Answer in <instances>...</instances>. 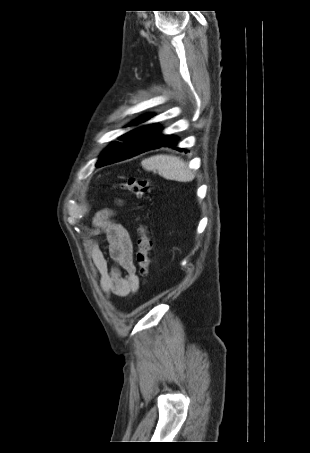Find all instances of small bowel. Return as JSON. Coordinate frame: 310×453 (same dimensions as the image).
Returning a JSON list of instances; mask_svg holds the SVG:
<instances>
[{"instance_id":"1","label":"small bowel","mask_w":310,"mask_h":453,"mask_svg":"<svg viewBox=\"0 0 310 453\" xmlns=\"http://www.w3.org/2000/svg\"><path fill=\"white\" fill-rule=\"evenodd\" d=\"M112 215V211L103 210L94 219L95 227L107 236L108 254L112 265H109L97 241L89 244V254L100 277V288L106 297L110 298L112 295L126 297L137 292L139 278L133 262L130 233L124 224L112 220Z\"/></svg>"}]
</instances>
